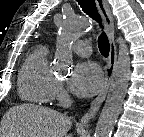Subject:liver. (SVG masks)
Returning <instances> with one entry per match:
<instances>
[{
    "instance_id": "6515ba94",
    "label": "liver",
    "mask_w": 144,
    "mask_h": 137,
    "mask_svg": "<svg viewBox=\"0 0 144 137\" xmlns=\"http://www.w3.org/2000/svg\"><path fill=\"white\" fill-rule=\"evenodd\" d=\"M70 117L48 107L22 104L2 117L0 137H72Z\"/></svg>"
}]
</instances>
